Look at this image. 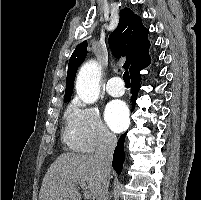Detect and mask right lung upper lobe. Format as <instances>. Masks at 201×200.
<instances>
[{"label": "right lung upper lobe", "instance_id": "obj_1", "mask_svg": "<svg viewBox=\"0 0 201 200\" xmlns=\"http://www.w3.org/2000/svg\"><path fill=\"white\" fill-rule=\"evenodd\" d=\"M148 33L149 30L143 26L141 18L132 10L124 8L120 11L119 24L109 36V47L116 57H127L124 67L129 69L130 76L150 64ZM86 55L87 42L84 41L75 48L70 57L64 100L71 98L77 69Z\"/></svg>", "mask_w": 201, "mask_h": 200}]
</instances>
